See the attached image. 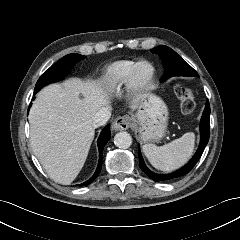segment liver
<instances>
[{"label":"liver","instance_id":"6515ba94","mask_svg":"<svg viewBox=\"0 0 240 240\" xmlns=\"http://www.w3.org/2000/svg\"><path fill=\"white\" fill-rule=\"evenodd\" d=\"M109 99L101 82L78 78L37 94L29 113L31 146L51 179L63 185L75 180L94 139L93 117Z\"/></svg>","mask_w":240,"mask_h":240}]
</instances>
